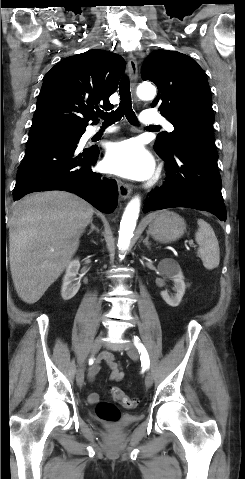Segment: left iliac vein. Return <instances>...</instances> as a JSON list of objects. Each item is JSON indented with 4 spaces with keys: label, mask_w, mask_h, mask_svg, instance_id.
I'll return each mask as SVG.
<instances>
[{
    "label": "left iliac vein",
    "mask_w": 245,
    "mask_h": 479,
    "mask_svg": "<svg viewBox=\"0 0 245 479\" xmlns=\"http://www.w3.org/2000/svg\"><path fill=\"white\" fill-rule=\"evenodd\" d=\"M127 354L133 360H136L138 358V350L132 344H128ZM152 383H153L152 375H151L150 372H147L146 375H145V385H146V387H151Z\"/></svg>",
    "instance_id": "left-iliac-vein-1"
}]
</instances>
